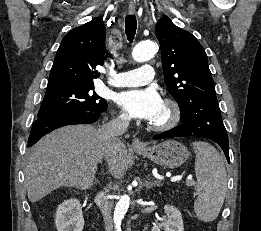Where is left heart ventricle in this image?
<instances>
[{
    "label": "left heart ventricle",
    "instance_id": "b2bd125f",
    "mask_svg": "<svg viewBox=\"0 0 261 231\" xmlns=\"http://www.w3.org/2000/svg\"><path fill=\"white\" fill-rule=\"evenodd\" d=\"M167 117H168V109L164 104H162L160 111L158 112V114L154 117V119L151 122L160 123V122H163L164 120H166Z\"/></svg>",
    "mask_w": 261,
    "mask_h": 231
}]
</instances>
